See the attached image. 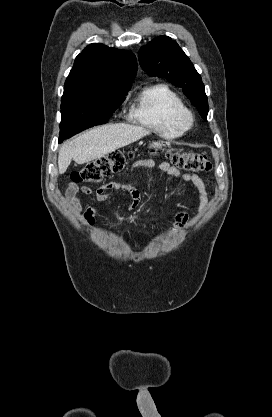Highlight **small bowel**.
Returning <instances> with one entry per match:
<instances>
[{"label": "small bowel", "mask_w": 272, "mask_h": 417, "mask_svg": "<svg viewBox=\"0 0 272 417\" xmlns=\"http://www.w3.org/2000/svg\"><path fill=\"white\" fill-rule=\"evenodd\" d=\"M138 167H145L149 169H156L158 171L164 172L170 176H173L177 179L189 182L193 185L196 190L197 197L201 206V209L205 207L208 201V194L206 186L203 180L195 174L182 173L176 167L171 166L168 163H157L152 159H142L135 161L131 168L135 169ZM119 190H122L126 193L125 198L128 201L130 209H135L140 204V194L137 189L134 187L122 184L119 182H111L105 185H102L95 191V197L93 203L88 206L83 212L84 219L86 224L93 228L95 224V215L97 212V205L101 202L107 201L111 197L115 196ZM92 194V190L89 187L82 186L79 187L75 183H69L65 192L66 201L70 209L75 213H80L82 211L80 200L84 196H89ZM176 228L173 231L182 229L188 220L187 212L183 210H178L175 214Z\"/></svg>", "instance_id": "small-bowel-1"}]
</instances>
